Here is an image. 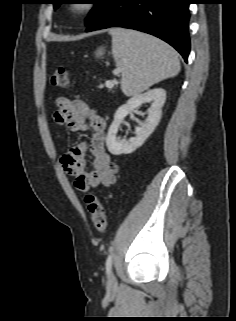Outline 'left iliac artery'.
<instances>
[{
  "label": "left iliac artery",
  "instance_id": "obj_1",
  "mask_svg": "<svg viewBox=\"0 0 236 321\" xmlns=\"http://www.w3.org/2000/svg\"><path fill=\"white\" fill-rule=\"evenodd\" d=\"M112 259H113V254L110 253L106 259V271H107V274L110 273L111 271V267H112Z\"/></svg>",
  "mask_w": 236,
  "mask_h": 321
}]
</instances>
